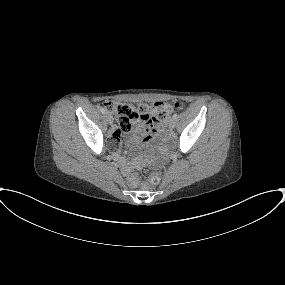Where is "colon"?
I'll list each match as a JSON object with an SVG mask.
<instances>
[{"label": "colon", "instance_id": "colon-1", "mask_svg": "<svg viewBox=\"0 0 285 285\" xmlns=\"http://www.w3.org/2000/svg\"><path fill=\"white\" fill-rule=\"evenodd\" d=\"M107 109L116 117L117 127L121 132H130L137 122L142 121H162L171 113V105L159 102L152 106L142 104L134 106L129 103L107 102ZM151 184H158L161 181V175L154 172L148 176Z\"/></svg>", "mask_w": 285, "mask_h": 285}]
</instances>
